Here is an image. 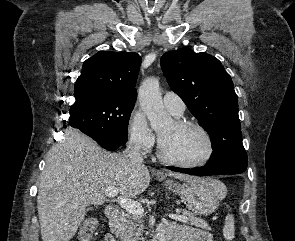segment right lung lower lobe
<instances>
[{"mask_svg": "<svg viewBox=\"0 0 295 241\" xmlns=\"http://www.w3.org/2000/svg\"><path fill=\"white\" fill-rule=\"evenodd\" d=\"M98 144L107 150H115L118 147V146L108 145V144H103V143H98Z\"/></svg>", "mask_w": 295, "mask_h": 241, "instance_id": "obj_1", "label": "right lung lower lobe"}]
</instances>
